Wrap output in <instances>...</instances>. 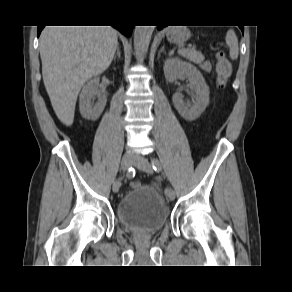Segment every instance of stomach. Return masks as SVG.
Instances as JSON below:
<instances>
[{
	"label": "stomach",
	"instance_id": "obj_1",
	"mask_svg": "<svg viewBox=\"0 0 292 292\" xmlns=\"http://www.w3.org/2000/svg\"><path fill=\"white\" fill-rule=\"evenodd\" d=\"M167 39L173 43H183L189 38V32L184 27H171L166 33Z\"/></svg>",
	"mask_w": 292,
	"mask_h": 292
}]
</instances>
